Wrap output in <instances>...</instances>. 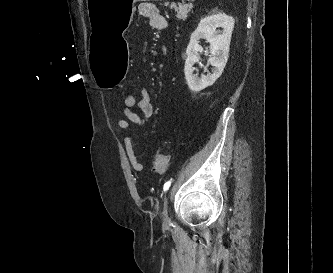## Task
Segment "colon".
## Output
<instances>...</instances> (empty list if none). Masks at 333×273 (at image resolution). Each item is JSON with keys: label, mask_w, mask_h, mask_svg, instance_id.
Listing matches in <instances>:
<instances>
[{"label": "colon", "mask_w": 333, "mask_h": 273, "mask_svg": "<svg viewBox=\"0 0 333 273\" xmlns=\"http://www.w3.org/2000/svg\"><path fill=\"white\" fill-rule=\"evenodd\" d=\"M138 96L135 94H127L124 97V107L133 109L137 106ZM169 166V156L166 154H157L153 162V171L157 173L164 172Z\"/></svg>", "instance_id": "1"}]
</instances>
